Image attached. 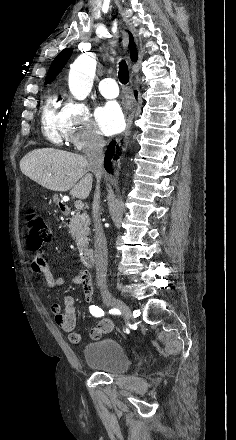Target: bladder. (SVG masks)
<instances>
[{
  "mask_svg": "<svg viewBox=\"0 0 236 440\" xmlns=\"http://www.w3.org/2000/svg\"><path fill=\"white\" fill-rule=\"evenodd\" d=\"M85 362L106 373H123L129 367V359L120 342L102 339L88 343L83 351Z\"/></svg>",
  "mask_w": 236,
  "mask_h": 440,
  "instance_id": "obj_1",
  "label": "bladder"
}]
</instances>
